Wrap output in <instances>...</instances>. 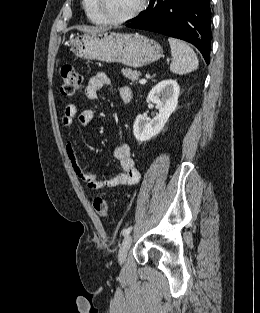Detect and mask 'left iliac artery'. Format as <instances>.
Returning a JSON list of instances; mask_svg holds the SVG:
<instances>
[{"label":"left iliac artery","instance_id":"44dca946","mask_svg":"<svg viewBox=\"0 0 260 313\" xmlns=\"http://www.w3.org/2000/svg\"><path fill=\"white\" fill-rule=\"evenodd\" d=\"M132 228H133V227L130 226V227H128L127 229H124V230H123V236L128 235V234L131 232Z\"/></svg>","mask_w":260,"mask_h":313}]
</instances>
